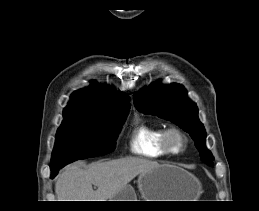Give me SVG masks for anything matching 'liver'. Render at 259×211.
<instances>
[{"mask_svg":"<svg viewBox=\"0 0 259 211\" xmlns=\"http://www.w3.org/2000/svg\"><path fill=\"white\" fill-rule=\"evenodd\" d=\"M159 166L155 161L135 157L99 161L86 169L71 164L58 176L55 193L58 201H108L137 175Z\"/></svg>","mask_w":259,"mask_h":211,"instance_id":"1","label":"liver"}]
</instances>
